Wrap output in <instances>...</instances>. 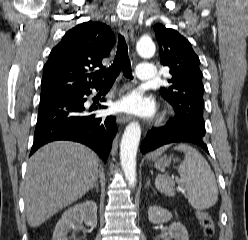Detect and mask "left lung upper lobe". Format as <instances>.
Masks as SVG:
<instances>
[{
	"label": "left lung upper lobe",
	"mask_w": 248,
	"mask_h": 240,
	"mask_svg": "<svg viewBox=\"0 0 248 240\" xmlns=\"http://www.w3.org/2000/svg\"><path fill=\"white\" fill-rule=\"evenodd\" d=\"M159 43L161 64L170 67V86L161 88L162 97L174 108L176 124H192L205 134L204 86L200 60L190 42L176 30L154 25Z\"/></svg>",
	"instance_id": "left-lung-upper-lobe-1"
}]
</instances>
